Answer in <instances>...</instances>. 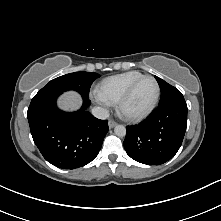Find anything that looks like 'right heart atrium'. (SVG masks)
Instances as JSON below:
<instances>
[{
    "label": "right heart atrium",
    "mask_w": 221,
    "mask_h": 221,
    "mask_svg": "<svg viewBox=\"0 0 221 221\" xmlns=\"http://www.w3.org/2000/svg\"><path fill=\"white\" fill-rule=\"evenodd\" d=\"M97 100L99 101V102H104L101 98H99V97H97Z\"/></svg>",
    "instance_id": "right-heart-atrium-1"
}]
</instances>
